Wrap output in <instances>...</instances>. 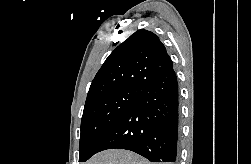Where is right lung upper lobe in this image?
Instances as JSON below:
<instances>
[{
    "label": "right lung upper lobe",
    "instance_id": "right-lung-upper-lobe-1",
    "mask_svg": "<svg viewBox=\"0 0 251 164\" xmlns=\"http://www.w3.org/2000/svg\"><path fill=\"white\" fill-rule=\"evenodd\" d=\"M172 67L159 37L153 32L138 30L105 60L91 83L86 102L120 88H141Z\"/></svg>",
    "mask_w": 251,
    "mask_h": 164
}]
</instances>
